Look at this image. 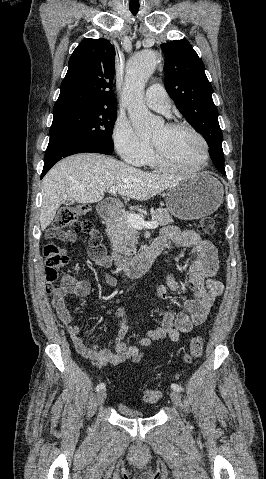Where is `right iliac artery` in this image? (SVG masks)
<instances>
[{"label": "right iliac artery", "mask_w": 266, "mask_h": 479, "mask_svg": "<svg viewBox=\"0 0 266 479\" xmlns=\"http://www.w3.org/2000/svg\"><path fill=\"white\" fill-rule=\"evenodd\" d=\"M104 388H105V384H104V383H100V384L97 385L96 391H100V390H102V389H104Z\"/></svg>", "instance_id": "82829eb1"}]
</instances>
